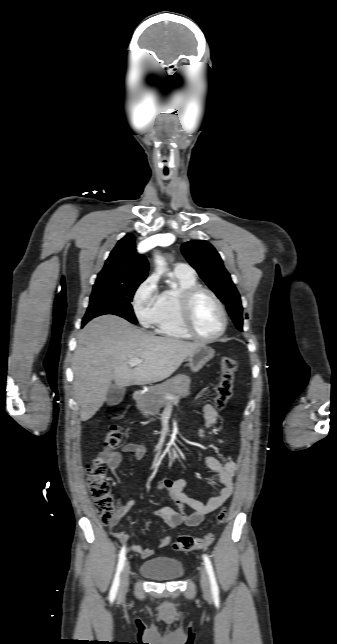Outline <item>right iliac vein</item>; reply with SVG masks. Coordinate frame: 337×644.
<instances>
[{"instance_id": "63e3f726", "label": "right iliac vein", "mask_w": 337, "mask_h": 644, "mask_svg": "<svg viewBox=\"0 0 337 644\" xmlns=\"http://www.w3.org/2000/svg\"><path fill=\"white\" fill-rule=\"evenodd\" d=\"M129 573H130V565L127 562L122 570L121 577H120V585H119V591H118V595L120 598L124 597L127 592L128 585H129Z\"/></svg>"}]
</instances>
